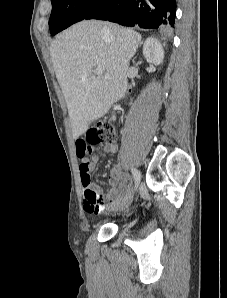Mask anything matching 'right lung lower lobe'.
I'll return each mask as SVG.
<instances>
[{"instance_id": "obj_1", "label": "right lung lower lobe", "mask_w": 227, "mask_h": 298, "mask_svg": "<svg viewBox=\"0 0 227 298\" xmlns=\"http://www.w3.org/2000/svg\"><path fill=\"white\" fill-rule=\"evenodd\" d=\"M175 0H105L84 19H99L124 26L165 29L174 27Z\"/></svg>"}]
</instances>
